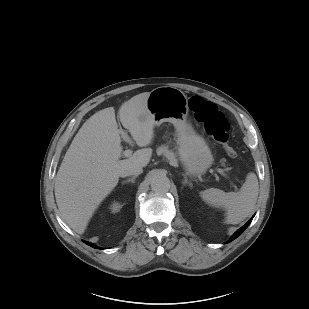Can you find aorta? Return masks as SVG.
Wrapping results in <instances>:
<instances>
[{
    "label": "aorta",
    "instance_id": "762f6f07",
    "mask_svg": "<svg viewBox=\"0 0 309 309\" xmlns=\"http://www.w3.org/2000/svg\"><path fill=\"white\" fill-rule=\"evenodd\" d=\"M151 189L155 193H166L170 189V181L164 175H155L151 180Z\"/></svg>",
    "mask_w": 309,
    "mask_h": 309
}]
</instances>
